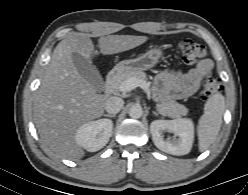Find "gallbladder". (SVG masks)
<instances>
[{
	"label": "gallbladder",
	"mask_w": 248,
	"mask_h": 195,
	"mask_svg": "<svg viewBox=\"0 0 248 195\" xmlns=\"http://www.w3.org/2000/svg\"><path fill=\"white\" fill-rule=\"evenodd\" d=\"M72 59L79 74L90 82L97 91L103 90V78L96 66L90 60L78 53H73Z\"/></svg>",
	"instance_id": "obj_1"
}]
</instances>
